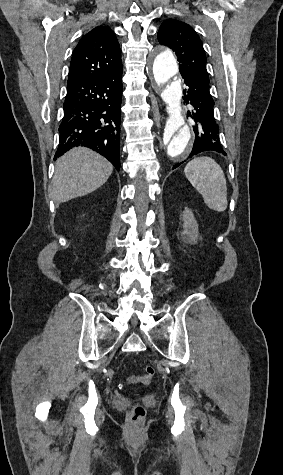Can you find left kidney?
<instances>
[{"label":"left kidney","instance_id":"5707ae66","mask_svg":"<svg viewBox=\"0 0 283 475\" xmlns=\"http://www.w3.org/2000/svg\"><path fill=\"white\" fill-rule=\"evenodd\" d=\"M183 232H181L182 241L186 243H197L198 236V224L193 216L192 210L185 208L182 214Z\"/></svg>","mask_w":283,"mask_h":475}]
</instances>
